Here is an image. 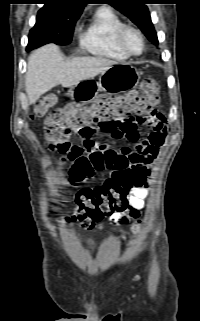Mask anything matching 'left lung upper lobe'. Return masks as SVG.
Returning a JSON list of instances; mask_svg holds the SVG:
<instances>
[{"mask_svg":"<svg viewBox=\"0 0 200 321\" xmlns=\"http://www.w3.org/2000/svg\"><path fill=\"white\" fill-rule=\"evenodd\" d=\"M105 1L135 23L151 42L158 44L157 35L151 21L149 10L145 5L147 0Z\"/></svg>","mask_w":200,"mask_h":321,"instance_id":"5c2ea615","label":"left lung upper lobe"}]
</instances>
